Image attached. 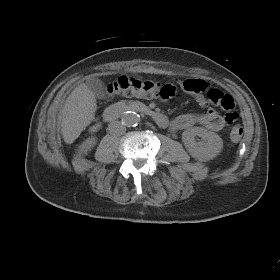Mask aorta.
I'll use <instances>...</instances> for the list:
<instances>
[{
	"instance_id": "762f6f07",
	"label": "aorta",
	"mask_w": 280,
	"mask_h": 280,
	"mask_svg": "<svg viewBox=\"0 0 280 280\" xmlns=\"http://www.w3.org/2000/svg\"><path fill=\"white\" fill-rule=\"evenodd\" d=\"M139 121L140 118L138 114L132 111L125 112L121 118L122 124L128 127L136 126Z\"/></svg>"
}]
</instances>
